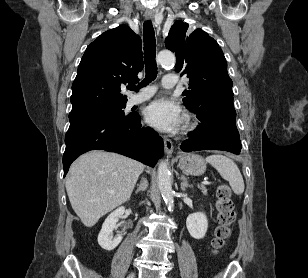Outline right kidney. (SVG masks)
Returning a JSON list of instances; mask_svg holds the SVG:
<instances>
[{"mask_svg":"<svg viewBox=\"0 0 308 278\" xmlns=\"http://www.w3.org/2000/svg\"><path fill=\"white\" fill-rule=\"evenodd\" d=\"M124 212L125 207H119L113 211L104 221L102 229L98 235V243L103 249L111 251L121 242V235H118L114 238L112 232L117 227V222L119 218L124 214Z\"/></svg>","mask_w":308,"mask_h":278,"instance_id":"right-kidney-1","label":"right kidney"}]
</instances>
